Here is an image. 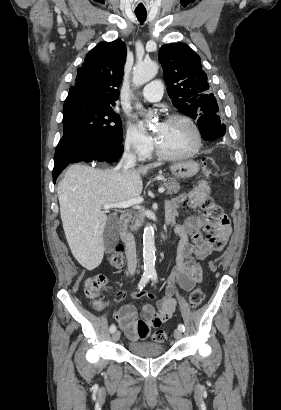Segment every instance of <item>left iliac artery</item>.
<instances>
[{
    "label": "left iliac artery",
    "instance_id": "44dca946",
    "mask_svg": "<svg viewBox=\"0 0 281 410\" xmlns=\"http://www.w3.org/2000/svg\"><path fill=\"white\" fill-rule=\"evenodd\" d=\"M150 276H151V279H152L153 281H156V280H157V274H156V272H152ZM178 329L181 330V331H184V330H185V327H184L183 324H179V325H178Z\"/></svg>",
    "mask_w": 281,
    "mask_h": 410
}]
</instances>
